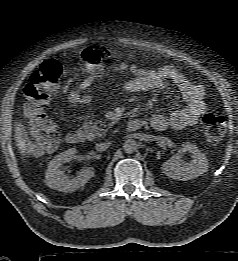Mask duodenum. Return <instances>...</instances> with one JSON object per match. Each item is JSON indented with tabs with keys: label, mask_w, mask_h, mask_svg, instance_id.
Segmentation results:
<instances>
[{
	"label": "duodenum",
	"mask_w": 238,
	"mask_h": 261,
	"mask_svg": "<svg viewBox=\"0 0 238 261\" xmlns=\"http://www.w3.org/2000/svg\"><path fill=\"white\" fill-rule=\"evenodd\" d=\"M145 121L134 118L128 121L127 129L129 131H136L145 126ZM66 141L72 145L82 144L85 141V135L80 131H71L66 136Z\"/></svg>",
	"instance_id": "duodenum-1"
}]
</instances>
